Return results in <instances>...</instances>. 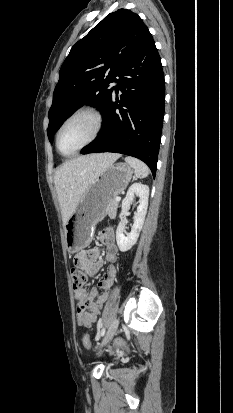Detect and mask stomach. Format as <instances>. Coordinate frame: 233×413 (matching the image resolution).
Listing matches in <instances>:
<instances>
[{"instance_id": "1", "label": "stomach", "mask_w": 233, "mask_h": 413, "mask_svg": "<svg viewBox=\"0 0 233 413\" xmlns=\"http://www.w3.org/2000/svg\"><path fill=\"white\" fill-rule=\"evenodd\" d=\"M132 174V168L122 162L112 164L98 174L64 226L68 252L76 253L89 245L96 224L107 214L108 202L127 187Z\"/></svg>"}]
</instances>
